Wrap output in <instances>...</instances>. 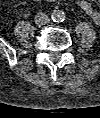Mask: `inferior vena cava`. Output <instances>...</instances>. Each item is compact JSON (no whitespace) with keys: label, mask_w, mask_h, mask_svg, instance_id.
<instances>
[{"label":"inferior vena cava","mask_w":100,"mask_h":118,"mask_svg":"<svg viewBox=\"0 0 100 118\" xmlns=\"http://www.w3.org/2000/svg\"><path fill=\"white\" fill-rule=\"evenodd\" d=\"M34 20L37 25H46L50 22L49 17L43 13L36 14Z\"/></svg>","instance_id":"inferior-vena-cava-1"}]
</instances>
